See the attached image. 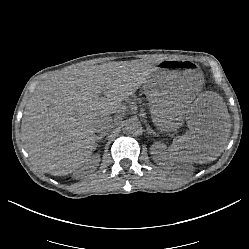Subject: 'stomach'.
<instances>
[{"mask_svg": "<svg viewBox=\"0 0 249 249\" xmlns=\"http://www.w3.org/2000/svg\"><path fill=\"white\" fill-rule=\"evenodd\" d=\"M204 86L203 72L193 63L164 60L153 70L143 90L158 109L184 113Z\"/></svg>", "mask_w": 249, "mask_h": 249, "instance_id": "0dacf381", "label": "stomach"}]
</instances>
